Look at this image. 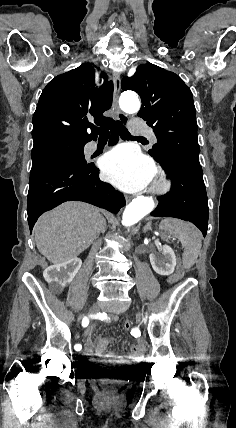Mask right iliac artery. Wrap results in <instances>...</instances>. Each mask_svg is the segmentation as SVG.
I'll return each mask as SVG.
<instances>
[{"mask_svg": "<svg viewBox=\"0 0 236 428\" xmlns=\"http://www.w3.org/2000/svg\"><path fill=\"white\" fill-rule=\"evenodd\" d=\"M88 324H89V319L85 316V317L83 318V320H82V326H83V327H87V326H88ZM74 349H75L76 351H80V350L82 349V346H81L80 344H76V345L74 346Z\"/></svg>", "mask_w": 236, "mask_h": 428, "instance_id": "82829eb1", "label": "right iliac artery"}]
</instances>
